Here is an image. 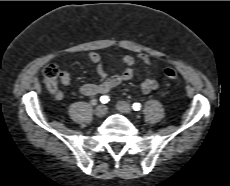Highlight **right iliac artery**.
Wrapping results in <instances>:
<instances>
[{
  "instance_id": "right-iliac-artery-1",
  "label": "right iliac artery",
  "mask_w": 230,
  "mask_h": 186,
  "mask_svg": "<svg viewBox=\"0 0 230 186\" xmlns=\"http://www.w3.org/2000/svg\"><path fill=\"white\" fill-rule=\"evenodd\" d=\"M109 100H110L109 97L106 96V95L101 96V98H100V101H101L103 104L107 103Z\"/></svg>"
}]
</instances>
